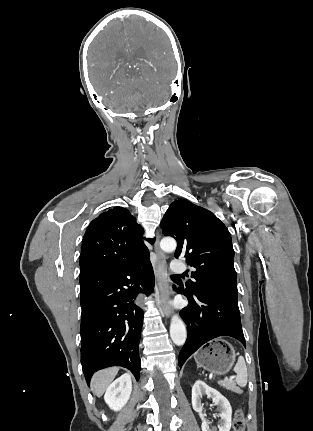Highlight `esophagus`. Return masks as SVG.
Segmentation results:
<instances>
[{"label":"esophagus","instance_id":"esophagus-1","mask_svg":"<svg viewBox=\"0 0 313 431\" xmlns=\"http://www.w3.org/2000/svg\"><path fill=\"white\" fill-rule=\"evenodd\" d=\"M155 251L157 254V262H156V275H157V285H158V305L161 312L166 316H171V308L168 305V289L166 284V276H165V255L159 248V235H157V239L155 242Z\"/></svg>","mask_w":313,"mask_h":431}]
</instances>
